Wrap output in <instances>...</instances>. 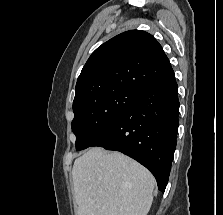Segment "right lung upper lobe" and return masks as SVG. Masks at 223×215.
Here are the masks:
<instances>
[{"label": "right lung upper lobe", "instance_id": "cb5924a9", "mask_svg": "<svg viewBox=\"0 0 223 215\" xmlns=\"http://www.w3.org/2000/svg\"><path fill=\"white\" fill-rule=\"evenodd\" d=\"M173 78L169 59L157 40L145 31H126L89 57L77 79L73 107L116 90L140 95Z\"/></svg>", "mask_w": 223, "mask_h": 215}]
</instances>
